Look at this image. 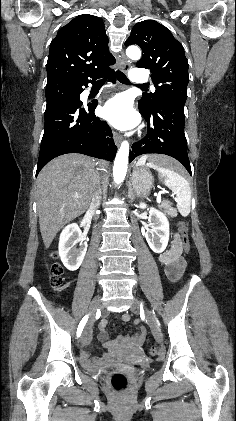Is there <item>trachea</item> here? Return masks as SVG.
Returning a JSON list of instances; mask_svg holds the SVG:
<instances>
[{
	"label": "trachea",
	"instance_id": "3493384b",
	"mask_svg": "<svg viewBox=\"0 0 236 421\" xmlns=\"http://www.w3.org/2000/svg\"><path fill=\"white\" fill-rule=\"evenodd\" d=\"M116 77L119 82L124 83L125 85H130V81L128 80V78L126 77L124 73L120 72V70L116 72ZM105 81L106 79L102 78L98 80L96 83H105ZM137 86L141 87V89H144V90L148 89L147 85H137Z\"/></svg>",
	"mask_w": 236,
	"mask_h": 421
}]
</instances>
